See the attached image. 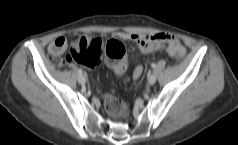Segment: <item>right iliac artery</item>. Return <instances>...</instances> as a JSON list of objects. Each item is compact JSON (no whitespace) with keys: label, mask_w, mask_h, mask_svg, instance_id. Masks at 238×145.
Listing matches in <instances>:
<instances>
[{"label":"right iliac artery","mask_w":238,"mask_h":145,"mask_svg":"<svg viewBox=\"0 0 238 145\" xmlns=\"http://www.w3.org/2000/svg\"><path fill=\"white\" fill-rule=\"evenodd\" d=\"M78 74L79 75L82 74V70L81 69L78 70Z\"/></svg>","instance_id":"right-iliac-artery-1"}]
</instances>
